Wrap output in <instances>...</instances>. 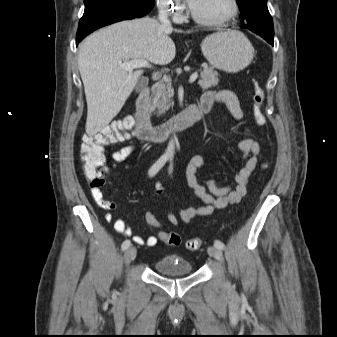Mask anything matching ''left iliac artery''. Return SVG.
I'll list each match as a JSON object with an SVG mask.
<instances>
[{"label":"left iliac artery","instance_id":"44dca946","mask_svg":"<svg viewBox=\"0 0 337 337\" xmlns=\"http://www.w3.org/2000/svg\"><path fill=\"white\" fill-rule=\"evenodd\" d=\"M172 170H173V166H172V164H171L170 167H169V173H171ZM214 247H216V248L222 250V249L225 248V245H224V243H223L222 241H220V240H215V241H214Z\"/></svg>","mask_w":337,"mask_h":337}]
</instances>
